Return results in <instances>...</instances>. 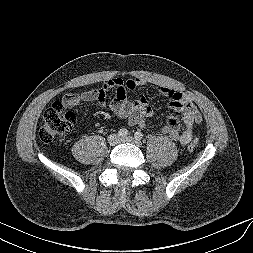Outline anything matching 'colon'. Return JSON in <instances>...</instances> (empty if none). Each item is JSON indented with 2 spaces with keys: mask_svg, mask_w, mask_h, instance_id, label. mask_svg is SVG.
Returning <instances> with one entry per match:
<instances>
[{
  "mask_svg": "<svg viewBox=\"0 0 253 253\" xmlns=\"http://www.w3.org/2000/svg\"><path fill=\"white\" fill-rule=\"evenodd\" d=\"M77 108L65 107L61 102L53 103L44 113L39 135L42 141L51 142L67 135L73 128L77 115ZM198 146L196 139L191 140L188 149L193 151Z\"/></svg>",
  "mask_w": 253,
  "mask_h": 253,
  "instance_id": "colon-1",
  "label": "colon"
}]
</instances>
